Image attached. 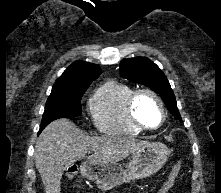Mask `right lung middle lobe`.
I'll return each mask as SVG.
<instances>
[{"mask_svg":"<svg viewBox=\"0 0 221 193\" xmlns=\"http://www.w3.org/2000/svg\"><path fill=\"white\" fill-rule=\"evenodd\" d=\"M89 85L52 90L47 99L40 130L58 118H73L81 115V98Z\"/></svg>","mask_w":221,"mask_h":193,"instance_id":"obj_1","label":"right lung middle lobe"}]
</instances>
